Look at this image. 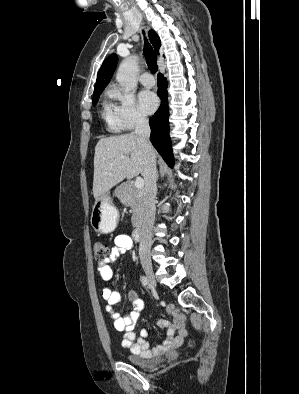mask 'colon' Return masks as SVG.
Returning <instances> with one entry per match:
<instances>
[{
    "label": "colon",
    "instance_id": "obj_1",
    "mask_svg": "<svg viewBox=\"0 0 299 394\" xmlns=\"http://www.w3.org/2000/svg\"><path fill=\"white\" fill-rule=\"evenodd\" d=\"M110 252V246L107 242L98 240L93 243L94 257L98 262L106 261L110 256Z\"/></svg>",
    "mask_w": 299,
    "mask_h": 394
}]
</instances>
